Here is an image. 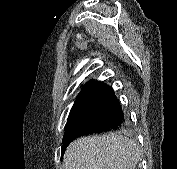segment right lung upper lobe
<instances>
[{
	"instance_id": "cb5924a9",
	"label": "right lung upper lobe",
	"mask_w": 177,
	"mask_h": 169,
	"mask_svg": "<svg viewBox=\"0 0 177 169\" xmlns=\"http://www.w3.org/2000/svg\"><path fill=\"white\" fill-rule=\"evenodd\" d=\"M86 92V86H84L83 90L81 93Z\"/></svg>"
}]
</instances>
